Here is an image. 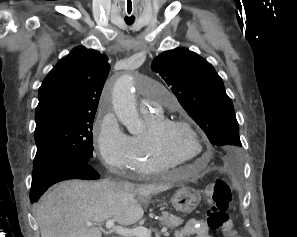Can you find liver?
Instances as JSON below:
<instances>
[{
    "instance_id": "1",
    "label": "liver",
    "mask_w": 297,
    "mask_h": 237,
    "mask_svg": "<svg viewBox=\"0 0 297 237\" xmlns=\"http://www.w3.org/2000/svg\"><path fill=\"white\" fill-rule=\"evenodd\" d=\"M169 188L168 185L122 187L110 180L61 182L35 205L41 237H102L98 225L109 219L123 226L138 222L149 196ZM86 222L93 225L87 227Z\"/></svg>"
}]
</instances>
